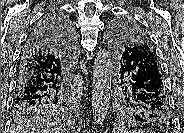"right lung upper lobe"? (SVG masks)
I'll return each mask as SVG.
<instances>
[{"label":"right lung upper lobe","mask_w":184,"mask_h":133,"mask_svg":"<svg viewBox=\"0 0 184 133\" xmlns=\"http://www.w3.org/2000/svg\"><path fill=\"white\" fill-rule=\"evenodd\" d=\"M46 36H47V33H45V38H47ZM58 45H60V43L57 42V38L53 37V39H51V42L49 43V47L50 48H57V47H59Z\"/></svg>","instance_id":"obj_1"}]
</instances>
